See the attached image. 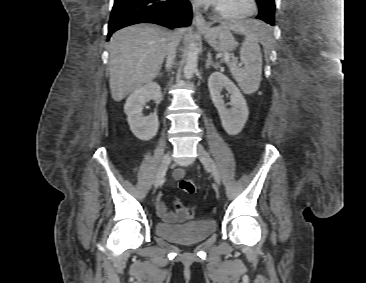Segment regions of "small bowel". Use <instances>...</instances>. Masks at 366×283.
<instances>
[{
	"instance_id": "obj_1",
	"label": "small bowel",
	"mask_w": 366,
	"mask_h": 283,
	"mask_svg": "<svg viewBox=\"0 0 366 283\" xmlns=\"http://www.w3.org/2000/svg\"><path fill=\"white\" fill-rule=\"evenodd\" d=\"M184 174H185L184 169L178 168L173 172V178L175 180H180L184 176ZM156 207L159 216L169 222L183 221L188 217L185 208L178 201L176 202L175 212L169 211L167 205L165 204V202L161 197L157 198Z\"/></svg>"
}]
</instances>
